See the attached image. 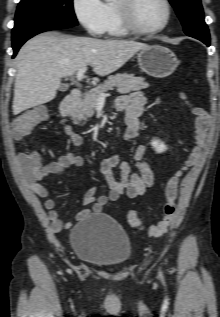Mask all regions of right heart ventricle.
Listing matches in <instances>:
<instances>
[{
	"label": "right heart ventricle",
	"mask_w": 220,
	"mask_h": 317,
	"mask_svg": "<svg viewBox=\"0 0 220 317\" xmlns=\"http://www.w3.org/2000/svg\"><path fill=\"white\" fill-rule=\"evenodd\" d=\"M106 7L105 33L111 37H124L127 32L122 28L117 17L114 4L108 3Z\"/></svg>",
	"instance_id": "1"
}]
</instances>
